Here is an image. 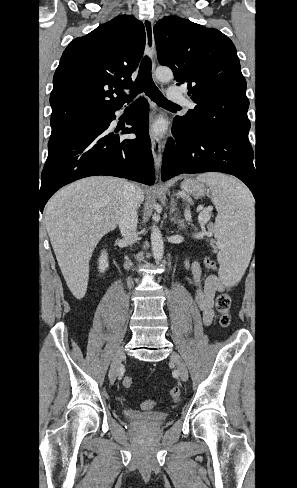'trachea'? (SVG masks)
<instances>
[{
  "label": "trachea",
  "instance_id": "1",
  "mask_svg": "<svg viewBox=\"0 0 297 488\" xmlns=\"http://www.w3.org/2000/svg\"><path fill=\"white\" fill-rule=\"evenodd\" d=\"M152 63L149 57L145 56L140 64L138 76L135 80L134 86L131 89V94L136 95L145 92L154 102L162 107H177L179 105L172 103L166 99L160 90L153 82L151 75Z\"/></svg>",
  "mask_w": 297,
  "mask_h": 488
}]
</instances>
